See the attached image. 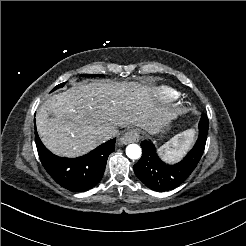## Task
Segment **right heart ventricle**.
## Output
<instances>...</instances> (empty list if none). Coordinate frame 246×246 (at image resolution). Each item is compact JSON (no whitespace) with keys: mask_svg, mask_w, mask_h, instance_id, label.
<instances>
[{"mask_svg":"<svg viewBox=\"0 0 246 246\" xmlns=\"http://www.w3.org/2000/svg\"><path fill=\"white\" fill-rule=\"evenodd\" d=\"M176 92L167 88V87H158L155 90V104L157 105H165L170 100L176 98Z\"/></svg>","mask_w":246,"mask_h":246,"instance_id":"obj_1","label":"right heart ventricle"}]
</instances>
